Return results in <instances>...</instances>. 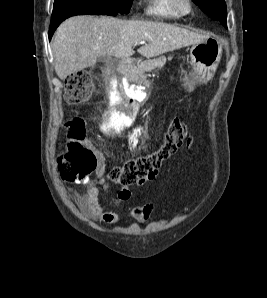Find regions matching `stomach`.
Segmentation results:
<instances>
[{"label":"stomach","instance_id":"obj_1","mask_svg":"<svg viewBox=\"0 0 267 298\" xmlns=\"http://www.w3.org/2000/svg\"><path fill=\"white\" fill-rule=\"evenodd\" d=\"M222 55L221 41L215 37H209L205 41L193 44L190 50L191 66L193 72L187 75V72L182 70L181 76L184 75L183 80L187 85L188 76L191 78L193 75L199 77L200 82L209 81L219 62ZM189 91L193 90V84H188Z\"/></svg>","mask_w":267,"mask_h":298}]
</instances>
